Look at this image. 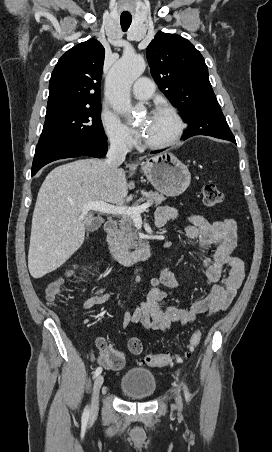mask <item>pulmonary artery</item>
Segmentation results:
<instances>
[{"label": "pulmonary artery", "instance_id": "obj_1", "mask_svg": "<svg viewBox=\"0 0 272 452\" xmlns=\"http://www.w3.org/2000/svg\"><path fill=\"white\" fill-rule=\"evenodd\" d=\"M153 92L154 84L146 77L139 78L132 88L133 97L140 101L148 100L152 96Z\"/></svg>", "mask_w": 272, "mask_h": 452}]
</instances>
